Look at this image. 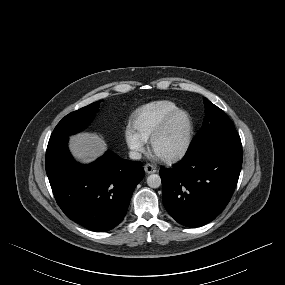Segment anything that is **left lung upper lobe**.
<instances>
[{
  "instance_id": "1",
  "label": "left lung upper lobe",
  "mask_w": 285,
  "mask_h": 285,
  "mask_svg": "<svg viewBox=\"0 0 285 285\" xmlns=\"http://www.w3.org/2000/svg\"><path fill=\"white\" fill-rule=\"evenodd\" d=\"M203 101L205 104L203 125L192 141L188 153L218 145L241 143L240 136L230 118L207 98L204 97Z\"/></svg>"
}]
</instances>
